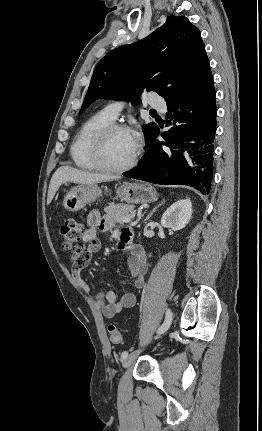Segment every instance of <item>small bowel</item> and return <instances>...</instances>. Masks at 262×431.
Returning <instances> with one entry per match:
<instances>
[{"label": "small bowel", "instance_id": "small-bowel-1", "mask_svg": "<svg viewBox=\"0 0 262 431\" xmlns=\"http://www.w3.org/2000/svg\"><path fill=\"white\" fill-rule=\"evenodd\" d=\"M88 228L82 238L83 242L90 243L88 249L70 258L72 265V276L78 287L85 292L90 291V285L82 276L81 271L88 266L92 256L99 251L100 243L96 238L97 230L111 231L122 241L121 246H126L129 253L126 258L127 266L130 270L134 286L141 289L144 286V275L147 270V263L144 249L141 245L133 241L134 233L129 226L114 225L109 219L103 216L100 211L93 210L87 218ZM136 303L133 293L125 292L118 297L113 290L107 291L105 295H99L97 304L101 308L102 314L106 318H111L125 308H131Z\"/></svg>", "mask_w": 262, "mask_h": 431}]
</instances>
